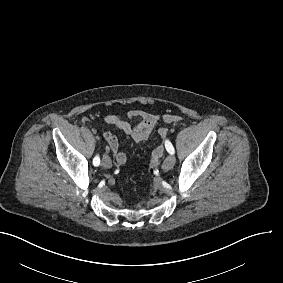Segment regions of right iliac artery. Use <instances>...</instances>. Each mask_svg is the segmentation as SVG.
<instances>
[{"label": "right iliac artery", "mask_w": 283, "mask_h": 283, "mask_svg": "<svg viewBox=\"0 0 283 283\" xmlns=\"http://www.w3.org/2000/svg\"><path fill=\"white\" fill-rule=\"evenodd\" d=\"M93 164L94 166H99L100 164V158L98 156H96L94 159H93Z\"/></svg>", "instance_id": "right-iliac-artery-1"}]
</instances>
